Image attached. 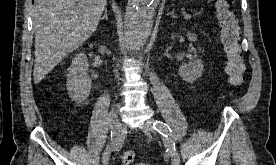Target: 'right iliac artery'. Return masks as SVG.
I'll return each mask as SVG.
<instances>
[{
    "instance_id": "obj_1",
    "label": "right iliac artery",
    "mask_w": 276,
    "mask_h": 165,
    "mask_svg": "<svg viewBox=\"0 0 276 165\" xmlns=\"http://www.w3.org/2000/svg\"><path fill=\"white\" fill-rule=\"evenodd\" d=\"M113 137V133L111 132V138ZM119 143H122V139L119 140Z\"/></svg>"
}]
</instances>
